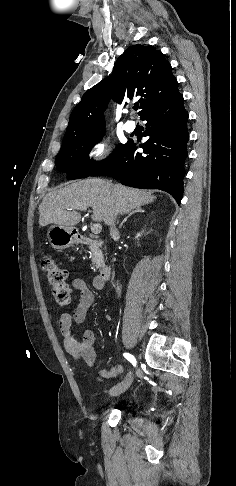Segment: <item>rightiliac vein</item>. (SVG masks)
Listing matches in <instances>:
<instances>
[{
  "label": "right iliac vein",
  "instance_id": "63e3f726",
  "mask_svg": "<svg viewBox=\"0 0 236 486\" xmlns=\"http://www.w3.org/2000/svg\"><path fill=\"white\" fill-rule=\"evenodd\" d=\"M133 380L131 372L127 375L125 380H123L121 383L117 384L111 390L109 391L110 396H117L125 392L131 385Z\"/></svg>",
  "mask_w": 236,
  "mask_h": 486
}]
</instances>
